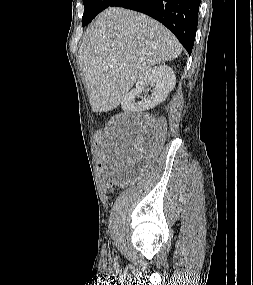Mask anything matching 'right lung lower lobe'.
<instances>
[{
	"mask_svg": "<svg viewBox=\"0 0 253 285\" xmlns=\"http://www.w3.org/2000/svg\"><path fill=\"white\" fill-rule=\"evenodd\" d=\"M201 0H115L119 6L147 14L165 25L189 55L192 52Z\"/></svg>",
	"mask_w": 253,
	"mask_h": 285,
	"instance_id": "obj_1",
	"label": "right lung lower lobe"
}]
</instances>
